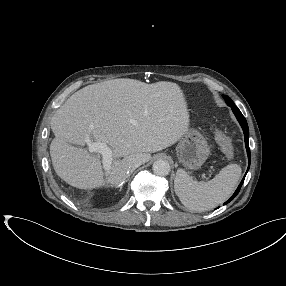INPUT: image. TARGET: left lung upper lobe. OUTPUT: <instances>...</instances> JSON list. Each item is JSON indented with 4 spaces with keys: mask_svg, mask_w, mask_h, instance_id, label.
Wrapping results in <instances>:
<instances>
[{
    "mask_svg": "<svg viewBox=\"0 0 286 286\" xmlns=\"http://www.w3.org/2000/svg\"><path fill=\"white\" fill-rule=\"evenodd\" d=\"M227 105L230 106L231 108H237L234 102L226 95L223 96Z\"/></svg>",
    "mask_w": 286,
    "mask_h": 286,
    "instance_id": "5c2ea615",
    "label": "left lung upper lobe"
}]
</instances>
